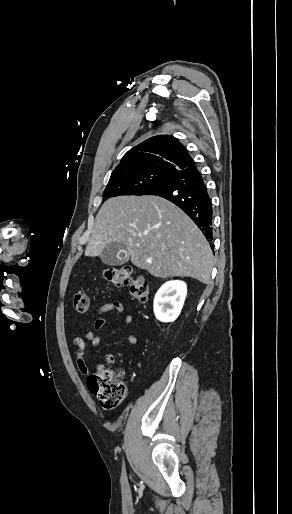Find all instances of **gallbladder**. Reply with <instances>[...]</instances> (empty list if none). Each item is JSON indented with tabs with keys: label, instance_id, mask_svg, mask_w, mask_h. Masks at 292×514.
<instances>
[{
	"label": "gallbladder",
	"instance_id": "gallbladder-1",
	"mask_svg": "<svg viewBox=\"0 0 292 514\" xmlns=\"http://www.w3.org/2000/svg\"><path fill=\"white\" fill-rule=\"evenodd\" d=\"M103 264L108 266H122L129 260V254L120 242H111L105 246L102 254L99 256Z\"/></svg>",
	"mask_w": 292,
	"mask_h": 514
}]
</instances>
